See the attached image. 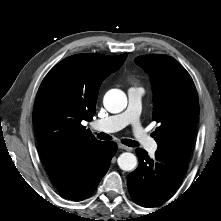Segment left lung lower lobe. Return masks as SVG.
<instances>
[{
	"label": "left lung lower lobe",
	"instance_id": "0a47b994",
	"mask_svg": "<svg viewBox=\"0 0 221 221\" xmlns=\"http://www.w3.org/2000/svg\"><path fill=\"white\" fill-rule=\"evenodd\" d=\"M138 168L127 177L133 200L143 207H155L176 190L181 183L188 160L157 150L151 159L145 150L136 149Z\"/></svg>",
	"mask_w": 221,
	"mask_h": 221
}]
</instances>
